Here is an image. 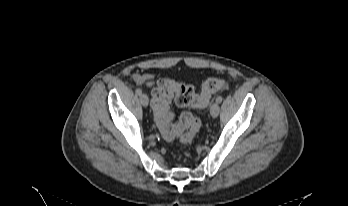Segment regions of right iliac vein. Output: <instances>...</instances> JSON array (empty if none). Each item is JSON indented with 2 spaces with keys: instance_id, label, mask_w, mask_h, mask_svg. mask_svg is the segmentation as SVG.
I'll list each match as a JSON object with an SVG mask.
<instances>
[{
  "instance_id": "63e3f726",
  "label": "right iliac vein",
  "mask_w": 348,
  "mask_h": 206,
  "mask_svg": "<svg viewBox=\"0 0 348 206\" xmlns=\"http://www.w3.org/2000/svg\"><path fill=\"white\" fill-rule=\"evenodd\" d=\"M140 102L144 107L148 106L149 98H148L147 94L143 93L140 95Z\"/></svg>"
}]
</instances>
